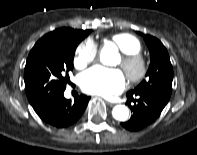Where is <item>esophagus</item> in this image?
Returning a JSON list of instances; mask_svg holds the SVG:
<instances>
[{"mask_svg":"<svg viewBox=\"0 0 197 155\" xmlns=\"http://www.w3.org/2000/svg\"><path fill=\"white\" fill-rule=\"evenodd\" d=\"M107 104H108L109 106H114V105H115V103L110 102V101H107Z\"/></svg>","mask_w":197,"mask_h":155,"instance_id":"obj_1","label":"esophagus"}]
</instances>
